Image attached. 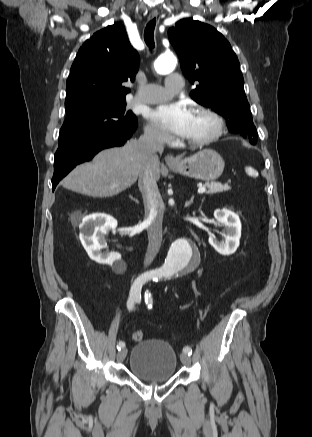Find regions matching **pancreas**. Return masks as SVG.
Wrapping results in <instances>:
<instances>
[{
    "instance_id": "obj_1",
    "label": "pancreas",
    "mask_w": 312,
    "mask_h": 437,
    "mask_svg": "<svg viewBox=\"0 0 312 437\" xmlns=\"http://www.w3.org/2000/svg\"><path fill=\"white\" fill-rule=\"evenodd\" d=\"M205 186L209 188L207 194H216V193L226 192L230 190V186L228 184L223 185L221 183H216V182L207 183L205 184Z\"/></svg>"
}]
</instances>
